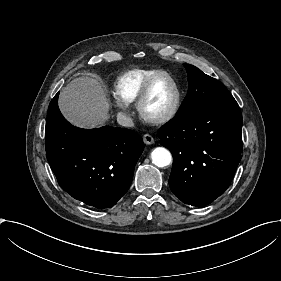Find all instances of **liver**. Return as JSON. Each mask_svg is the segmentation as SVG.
<instances>
[{
	"instance_id": "obj_1",
	"label": "liver",
	"mask_w": 281,
	"mask_h": 281,
	"mask_svg": "<svg viewBox=\"0 0 281 281\" xmlns=\"http://www.w3.org/2000/svg\"><path fill=\"white\" fill-rule=\"evenodd\" d=\"M58 107L63 117L80 129L101 128L109 120L111 102L103 85L90 76H79L62 88Z\"/></svg>"
}]
</instances>
